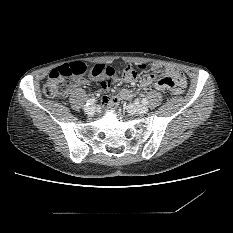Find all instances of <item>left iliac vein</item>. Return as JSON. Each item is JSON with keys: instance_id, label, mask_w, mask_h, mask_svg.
<instances>
[{"instance_id": "left-iliac-vein-1", "label": "left iliac vein", "mask_w": 233, "mask_h": 233, "mask_svg": "<svg viewBox=\"0 0 233 233\" xmlns=\"http://www.w3.org/2000/svg\"><path fill=\"white\" fill-rule=\"evenodd\" d=\"M127 111L132 115H143L148 112V107L143 104H128Z\"/></svg>"}]
</instances>
